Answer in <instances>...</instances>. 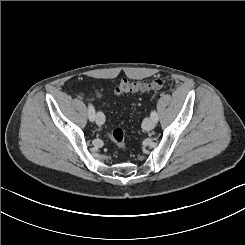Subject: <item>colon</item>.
I'll return each mask as SVG.
<instances>
[{
  "mask_svg": "<svg viewBox=\"0 0 245 245\" xmlns=\"http://www.w3.org/2000/svg\"><path fill=\"white\" fill-rule=\"evenodd\" d=\"M164 85V81L161 79L153 80L149 83H142L134 80H130L127 78H123L116 86H115V94L122 96L128 95L136 92H144L149 90H156L161 88ZM108 137L110 140L115 143L120 149L125 148L124 143V133L121 129H114L108 132Z\"/></svg>",
  "mask_w": 245,
  "mask_h": 245,
  "instance_id": "obj_1",
  "label": "colon"
}]
</instances>
